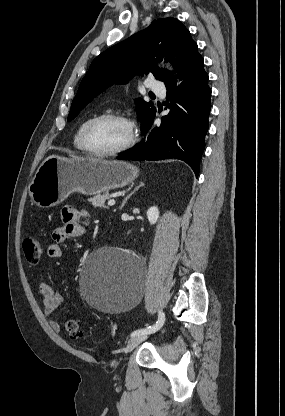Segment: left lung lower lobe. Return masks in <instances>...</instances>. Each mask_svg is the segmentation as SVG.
Returning a JSON list of instances; mask_svg holds the SVG:
<instances>
[{"label":"left lung lower lobe","instance_id":"left-lung-lower-lobe-1","mask_svg":"<svg viewBox=\"0 0 285 416\" xmlns=\"http://www.w3.org/2000/svg\"><path fill=\"white\" fill-rule=\"evenodd\" d=\"M203 64L200 56L185 68L180 75L183 80L181 87H176V81L166 85L171 107L169 115L161 118L160 126H153L154 118L150 120L142 128L146 137L117 159H179L186 162L198 177L211 110V89Z\"/></svg>","mask_w":285,"mask_h":416}]
</instances>
